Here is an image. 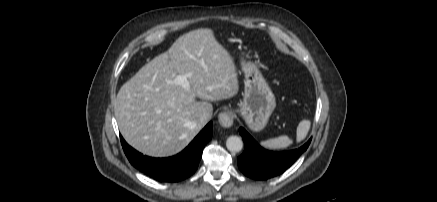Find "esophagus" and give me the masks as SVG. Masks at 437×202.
I'll list each match as a JSON object with an SVG mask.
<instances>
[{"mask_svg": "<svg viewBox=\"0 0 437 202\" xmlns=\"http://www.w3.org/2000/svg\"><path fill=\"white\" fill-rule=\"evenodd\" d=\"M234 121V113L232 111H224L218 115V122L222 127L228 128L232 126Z\"/></svg>", "mask_w": 437, "mask_h": 202, "instance_id": "obj_1", "label": "esophagus"}]
</instances>
